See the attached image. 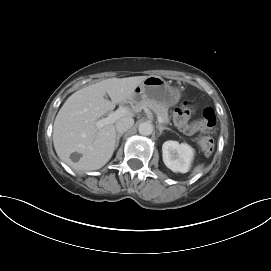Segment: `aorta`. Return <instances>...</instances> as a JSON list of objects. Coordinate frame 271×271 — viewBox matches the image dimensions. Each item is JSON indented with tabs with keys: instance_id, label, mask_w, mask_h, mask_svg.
<instances>
[{
	"instance_id": "1",
	"label": "aorta",
	"mask_w": 271,
	"mask_h": 271,
	"mask_svg": "<svg viewBox=\"0 0 271 271\" xmlns=\"http://www.w3.org/2000/svg\"><path fill=\"white\" fill-rule=\"evenodd\" d=\"M138 131L144 136L151 135L153 132V125L150 122H143L139 125Z\"/></svg>"
}]
</instances>
